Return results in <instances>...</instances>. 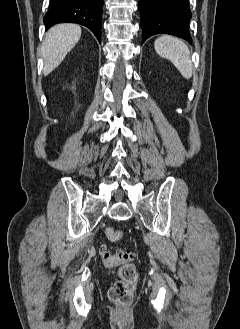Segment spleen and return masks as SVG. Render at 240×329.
<instances>
[{
    "label": "spleen",
    "instance_id": "3e777b00",
    "mask_svg": "<svg viewBox=\"0 0 240 329\" xmlns=\"http://www.w3.org/2000/svg\"><path fill=\"white\" fill-rule=\"evenodd\" d=\"M156 52L169 59L185 79H190L193 73L190 51L180 39L168 35L158 37L154 42Z\"/></svg>",
    "mask_w": 240,
    "mask_h": 329
}]
</instances>
